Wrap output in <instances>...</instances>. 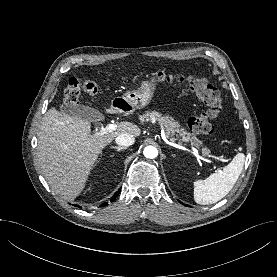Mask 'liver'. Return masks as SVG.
Returning <instances> with one entry per match:
<instances>
[{"label": "liver", "instance_id": "1", "mask_svg": "<svg viewBox=\"0 0 277 277\" xmlns=\"http://www.w3.org/2000/svg\"><path fill=\"white\" fill-rule=\"evenodd\" d=\"M108 114L127 113L119 108H105ZM91 124L68 116L54 107L49 109L38 132V161L50 187L66 200L75 199L85 188L91 170L103 149L117 136L128 133L135 137L141 130L130 122L104 134H90Z\"/></svg>", "mask_w": 277, "mask_h": 277}]
</instances>
